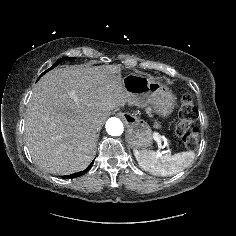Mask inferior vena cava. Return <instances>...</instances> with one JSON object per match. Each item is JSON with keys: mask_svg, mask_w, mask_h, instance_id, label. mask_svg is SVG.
I'll return each instance as SVG.
<instances>
[{"mask_svg": "<svg viewBox=\"0 0 236 236\" xmlns=\"http://www.w3.org/2000/svg\"><path fill=\"white\" fill-rule=\"evenodd\" d=\"M99 122H97V121H95V122H93V124H92V127L94 128V129H98L99 128Z\"/></svg>", "mask_w": 236, "mask_h": 236, "instance_id": "obj_1", "label": "inferior vena cava"}]
</instances>
